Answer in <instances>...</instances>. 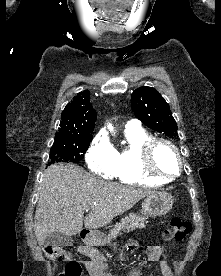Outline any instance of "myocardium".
<instances>
[{
	"instance_id": "obj_1",
	"label": "myocardium",
	"mask_w": 221,
	"mask_h": 276,
	"mask_svg": "<svg viewBox=\"0 0 221 276\" xmlns=\"http://www.w3.org/2000/svg\"><path fill=\"white\" fill-rule=\"evenodd\" d=\"M164 144L167 145L169 148L172 149L174 152L177 163L178 169L177 172L174 174H163L157 170L154 164V152L157 146ZM140 158H141V165L143 171L151 178L161 180V181H170L177 178L183 167L182 157L179 152L177 146L168 139L165 138H151L147 140L142 146L140 150Z\"/></svg>"
}]
</instances>
